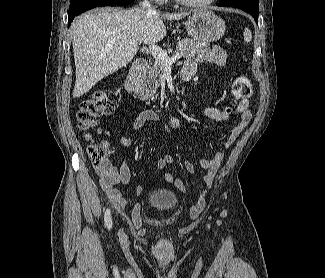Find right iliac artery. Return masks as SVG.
<instances>
[{
    "mask_svg": "<svg viewBox=\"0 0 325 278\" xmlns=\"http://www.w3.org/2000/svg\"><path fill=\"white\" fill-rule=\"evenodd\" d=\"M105 224L107 226L108 229H111L112 227V218L110 215V209H107L105 212Z\"/></svg>",
    "mask_w": 325,
    "mask_h": 278,
    "instance_id": "1",
    "label": "right iliac artery"
}]
</instances>
